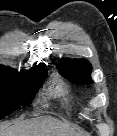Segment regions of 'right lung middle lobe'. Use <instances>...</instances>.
Wrapping results in <instances>:
<instances>
[{
	"label": "right lung middle lobe",
	"instance_id": "1",
	"mask_svg": "<svg viewBox=\"0 0 117 136\" xmlns=\"http://www.w3.org/2000/svg\"><path fill=\"white\" fill-rule=\"evenodd\" d=\"M46 76L45 64L20 72L0 65V119L29 105Z\"/></svg>",
	"mask_w": 117,
	"mask_h": 136
}]
</instances>
